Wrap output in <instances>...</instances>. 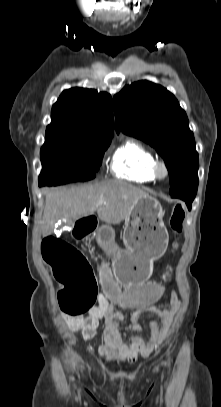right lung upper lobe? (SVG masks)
Instances as JSON below:
<instances>
[{
	"label": "right lung upper lobe",
	"mask_w": 221,
	"mask_h": 407,
	"mask_svg": "<svg viewBox=\"0 0 221 407\" xmlns=\"http://www.w3.org/2000/svg\"><path fill=\"white\" fill-rule=\"evenodd\" d=\"M113 131L110 95L93 89L72 88L63 91L52 106L46 136L111 142Z\"/></svg>",
	"instance_id": "obj_1"
}]
</instances>
